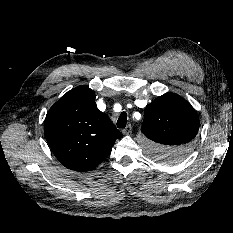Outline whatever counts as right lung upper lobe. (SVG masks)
Here are the masks:
<instances>
[{"mask_svg":"<svg viewBox=\"0 0 233 233\" xmlns=\"http://www.w3.org/2000/svg\"><path fill=\"white\" fill-rule=\"evenodd\" d=\"M44 132L56 158L79 172L95 169L109 156L116 139L123 137L98 110L88 86L70 90L50 108Z\"/></svg>","mask_w":233,"mask_h":233,"instance_id":"obj_1","label":"right lung upper lobe"}]
</instances>
